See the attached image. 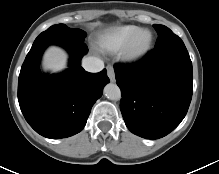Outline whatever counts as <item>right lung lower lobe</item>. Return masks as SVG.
<instances>
[{
	"mask_svg": "<svg viewBox=\"0 0 219 174\" xmlns=\"http://www.w3.org/2000/svg\"><path fill=\"white\" fill-rule=\"evenodd\" d=\"M52 44L69 52V68L58 75L43 74L39 61L50 44L30 50L19 75L18 101L26 121L37 133L60 139L84 128L92 106L110 80L105 69L89 73L80 66L88 51L84 42Z\"/></svg>",
	"mask_w": 219,
	"mask_h": 174,
	"instance_id": "obj_1",
	"label": "right lung lower lobe"
}]
</instances>
